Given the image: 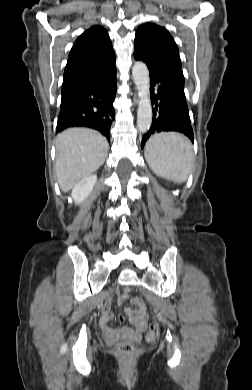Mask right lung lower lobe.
I'll return each mask as SVG.
<instances>
[{"label":"right lung lower lobe","mask_w":252,"mask_h":390,"mask_svg":"<svg viewBox=\"0 0 252 390\" xmlns=\"http://www.w3.org/2000/svg\"><path fill=\"white\" fill-rule=\"evenodd\" d=\"M115 93V66L107 75L81 83L63 93L56 131L85 126L100 131L110 140V127L115 119Z\"/></svg>","instance_id":"right-lung-lower-lobe-1"}]
</instances>
